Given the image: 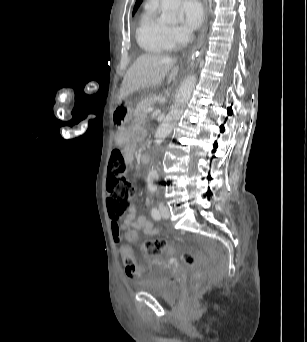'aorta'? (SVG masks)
Here are the masks:
<instances>
[{
	"label": "aorta",
	"mask_w": 307,
	"mask_h": 342,
	"mask_svg": "<svg viewBox=\"0 0 307 342\" xmlns=\"http://www.w3.org/2000/svg\"><path fill=\"white\" fill-rule=\"evenodd\" d=\"M180 4L181 0H160V10L162 14L159 18V22H165V24H177V16L178 14H181ZM196 82V76H187V78L183 80L175 96V102L169 114H167L165 118V122L160 124L155 134V146H160L162 138H166V136L172 132L174 124H176L177 120L182 116L183 110L186 108V104H188L193 90H195ZM149 176H154V178H156V176H158L157 170H153V168H151Z\"/></svg>",
	"instance_id": "obj_1"
}]
</instances>
